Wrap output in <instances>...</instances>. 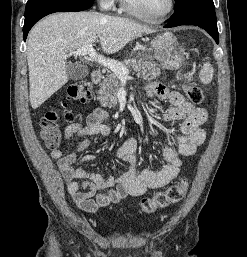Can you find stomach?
Returning <instances> with one entry per match:
<instances>
[{
    "label": "stomach",
    "instance_id": "obj_1",
    "mask_svg": "<svg viewBox=\"0 0 247 257\" xmlns=\"http://www.w3.org/2000/svg\"><path fill=\"white\" fill-rule=\"evenodd\" d=\"M151 45L154 52L153 58L161 67L175 70L182 66L186 53L171 32H163L155 36Z\"/></svg>",
    "mask_w": 247,
    "mask_h": 257
}]
</instances>
